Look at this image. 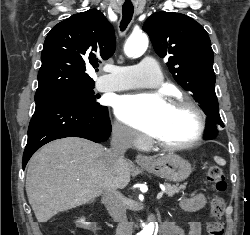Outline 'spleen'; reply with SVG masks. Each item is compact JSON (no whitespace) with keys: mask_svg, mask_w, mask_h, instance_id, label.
<instances>
[{"mask_svg":"<svg viewBox=\"0 0 250 235\" xmlns=\"http://www.w3.org/2000/svg\"><path fill=\"white\" fill-rule=\"evenodd\" d=\"M215 161L222 166L226 164L225 160L219 157H215Z\"/></svg>","mask_w":250,"mask_h":235,"instance_id":"1","label":"spleen"}]
</instances>
